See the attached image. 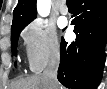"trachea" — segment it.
I'll return each mask as SVG.
<instances>
[{
    "label": "trachea",
    "mask_w": 107,
    "mask_h": 89,
    "mask_svg": "<svg viewBox=\"0 0 107 89\" xmlns=\"http://www.w3.org/2000/svg\"><path fill=\"white\" fill-rule=\"evenodd\" d=\"M67 4L68 5H72L73 4V0H67Z\"/></svg>",
    "instance_id": "3493384b"
}]
</instances>
